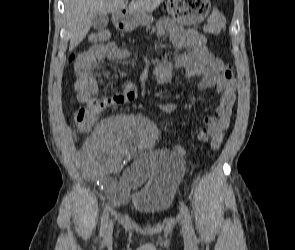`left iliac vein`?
Instances as JSON below:
<instances>
[{"label":"left iliac vein","mask_w":295,"mask_h":250,"mask_svg":"<svg viewBox=\"0 0 295 250\" xmlns=\"http://www.w3.org/2000/svg\"><path fill=\"white\" fill-rule=\"evenodd\" d=\"M181 226H182V232L184 237L189 240L191 238V235H190L189 226L185 217H183L181 220Z\"/></svg>","instance_id":"obj_1"}]
</instances>
